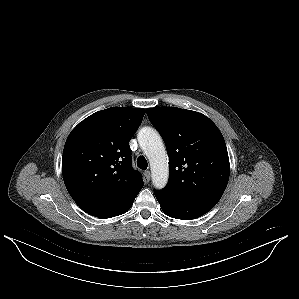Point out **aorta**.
Masks as SVG:
<instances>
[{"label": "aorta", "mask_w": 299, "mask_h": 299, "mask_svg": "<svg viewBox=\"0 0 299 299\" xmlns=\"http://www.w3.org/2000/svg\"><path fill=\"white\" fill-rule=\"evenodd\" d=\"M138 142L150 162L152 182L156 189H163L169 176L168 157L159 133L144 127L138 133Z\"/></svg>", "instance_id": "1"}]
</instances>
